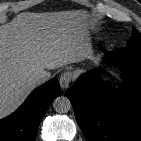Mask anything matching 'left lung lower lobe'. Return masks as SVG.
Returning a JSON list of instances; mask_svg holds the SVG:
<instances>
[{
	"mask_svg": "<svg viewBox=\"0 0 141 141\" xmlns=\"http://www.w3.org/2000/svg\"><path fill=\"white\" fill-rule=\"evenodd\" d=\"M107 55L123 69L122 90L113 92L89 73L80 76L66 95L87 141H141V46Z\"/></svg>",
	"mask_w": 141,
	"mask_h": 141,
	"instance_id": "0a47b994",
	"label": "left lung lower lobe"
}]
</instances>
